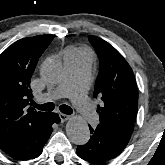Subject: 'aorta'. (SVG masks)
<instances>
[{
	"mask_svg": "<svg viewBox=\"0 0 165 165\" xmlns=\"http://www.w3.org/2000/svg\"><path fill=\"white\" fill-rule=\"evenodd\" d=\"M63 67L57 61H46L40 69V75L48 83H57L63 77ZM68 138L76 145L86 144L90 138L87 122L80 116L71 118L66 124Z\"/></svg>",
	"mask_w": 165,
	"mask_h": 165,
	"instance_id": "762f6f07",
	"label": "aorta"
}]
</instances>
